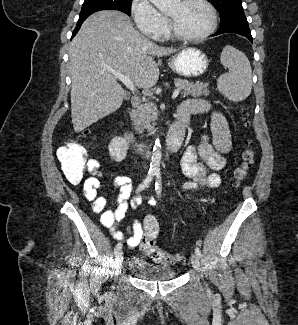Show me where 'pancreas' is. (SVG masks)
Masks as SVG:
<instances>
[{"label":"pancreas","instance_id":"pancreas-1","mask_svg":"<svg viewBox=\"0 0 298 325\" xmlns=\"http://www.w3.org/2000/svg\"><path fill=\"white\" fill-rule=\"evenodd\" d=\"M174 82L181 90L182 96H209V82H200V80H187V78H174ZM136 130L142 132V128H147L151 134L156 132L155 124L158 120V108L154 102H145L141 104L132 114ZM152 122V124H151Z\"/></svg>","mask_w":298,"mask_h":325}]
</instances>
